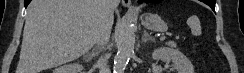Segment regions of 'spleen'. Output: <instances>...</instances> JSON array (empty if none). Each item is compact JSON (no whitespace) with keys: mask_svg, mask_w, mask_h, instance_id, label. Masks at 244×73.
Listing matches in <instances>:
<instances>
[{"mask_svg":"<svg viewBox=\"0 0 244 73\" xmlns=\"http://www.w3.org/2000/svg\"><path fill=\"white\" fill-rule=\"evenodd\" d=\"M187 24L191 29V33L194 36H200L201 35V24L196 15H192L188 18Z\"/></svg>","mask_w":244,"mask_h":73,"instance_id":"3e777b00","label":"spleen"}]
</instances>
